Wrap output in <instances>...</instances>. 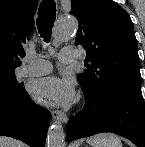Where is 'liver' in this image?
<instances>
[{
    "label": "liver",
    "instance_id": "6515ba94",
    "mask_svg": "<svg viewBox=\"0 0 145 147\" xmlns=\"http://www.w3.org/2000/svg\"><path fill=\"white\" fill-rule=\"evenodd\" d=\"M0 147H26L22 142L14 140L10 137L0 136Z\"/></svg>",
    "mask_w": 145,
    "mask_h": 147
}]
</instances>
